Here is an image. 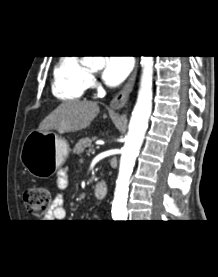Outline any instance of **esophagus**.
<instances>
[{
	"instance_id": "obj_1",
	"label": "esophagus",
	"mask_w": 218,
	"mask_h": 277,
	"mask_svg": "<svg viewBox=\"0 0 218 277\" xmlns=\"http://www.w3.org/2000/svg\"><path fill=\"white\" fill-rule=\"evenodd\" d=\"M137 70H138V59H137L135 69H134L133 73L131 74V76L129 77L128 81L123 86V88L115 95V97L111 100L110 106L113 109L122 108L128 101L129 95H130L131 91L133 90V87L135 84Z\"/></svg>"
}]
</instances>
